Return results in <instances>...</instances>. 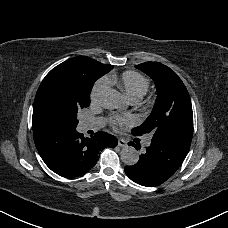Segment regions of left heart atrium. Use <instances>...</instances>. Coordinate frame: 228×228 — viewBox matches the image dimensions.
<instances>
[{
    "label": "left heart atrium",
    "instance_id": "39dd6f15",
    "mask_svg": "<svg viewBox=\"0 0 228 228\" xmlns=\"http://www.w3.org/2000/svg\"><path fill=\"white\" fill-rule=\"evenodd\" d=\"M125 123H126V121L121 117H113L111 119V125L114 129H117V128L123 126Z\"/></svg>",
    "mask_w": 228,
    "mask_h": 228
}]
</instances>
